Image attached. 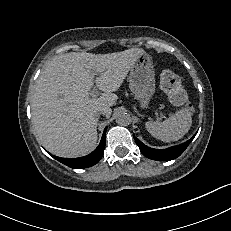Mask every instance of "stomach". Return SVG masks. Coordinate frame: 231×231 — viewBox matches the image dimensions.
<instances>
[{"mask_svg": "<svg viewBox=\"0 0 231 231\" xmlns=\"http://www.w3.org/2000/svg\"><path fill=\"white\" fill-rule=\"evenodd\" d=\"M155 72L151 57L145 52L130 69L129 88L139 101L141 108H147L155 92Z\"/></svg>", "mask_w": 231, "mask_h": 231, "instance_id": "stomach-1", "label": "stomach"}]
</instances>
